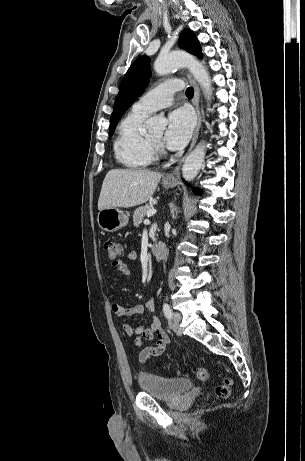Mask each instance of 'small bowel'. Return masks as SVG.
I'll list each match as a JSON object with an SVG mask.
<instances>
[{"instance_id":"small-bowel-1","label":"small bowel","mask_w":305,"mask_h":461,"mask_svg":"<svg viewBox=\"0 0 305 461\" xmlns=\"http://www.w3.org/2000/svg\"><path fill=\"white\" fill-rule=\"evenodd\" d=\"M126 257L130 260H134L137 257L135 251L127 253ZM116 270L122 275V281H127L132 276L130 267L122 262L118 261L113 264ZM111 308L120 319H131L135 316L143 314L145 308L151 316V324L148 327L134 326L130 323H125L123 326L124 332L127 337L134 338L133 345L135 347H141L145 341H152L153 345L147 346L141 350L138 356V360L141 364L146 363L151 357H159L166 350L171 340L168 334L162 328L161 322L155 314V299L150 297L146 305L134 304L129 307H123L117 302H113ZM160 363L157 368L162 367Z\"/></svg>"}]
</instances>
